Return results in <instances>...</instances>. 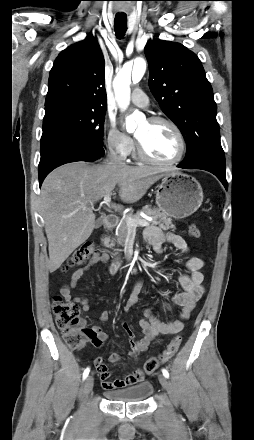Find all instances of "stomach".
I'll return each instance as SVG.
<instances>
[{"instance_id": "0dacf381", "label": "stomach", "mask_w": 254, "mask_h": 440, "mask_svg": "<svg viewBox=\"0 0 254 440\" xmlns=\"http://www.w3.org/2000/svg\"><path fill=\"white\" fill-rule=\"evenodd\" d=\"M203 191L192 176L170 171L164 174L156 191V204L162 213L175 219L191 216L201 206Z\"/></svg>"}]
</instances>
